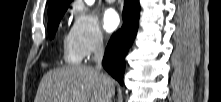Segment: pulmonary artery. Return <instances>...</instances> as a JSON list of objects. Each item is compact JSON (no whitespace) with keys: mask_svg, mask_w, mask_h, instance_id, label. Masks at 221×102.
Instances as JSON below:
<instances>
[{"mask_svg":"<svg viewBox=\"0 0 221 102\" xmlns=\"http://www.w3.org/2000/svg\"><path fill=\"white\" fill-rule=\"evenodd\" d=\"M108 3H113L115 0H106Z\"/></svg>","mask_w":221,"mask_h":102,"instance_id":"obj_1","label":"pulmonary artery"}]
</instances>
